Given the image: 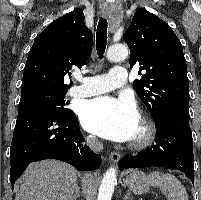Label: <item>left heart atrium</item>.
I'll use <instances>...</instances> for the list:
<instances>
[{
	"label": "left heart atrium",
	"instance_id": "left-heart-atrium-1",
	"mask_svg": "<svg viewBox=\"0 0 201 200\" xmlns=\"http://www.w3.org/2000/svg\"><path fill=\"white\" fill-rule=\"evenodd\" d=\"M80 118L89 132L117 142L133 140L140 123L138 110L132 100L110 96L84 103Z\"/></svg>",
	"mask_w": 201,
	"mask_h": 200
}]
</instances>
